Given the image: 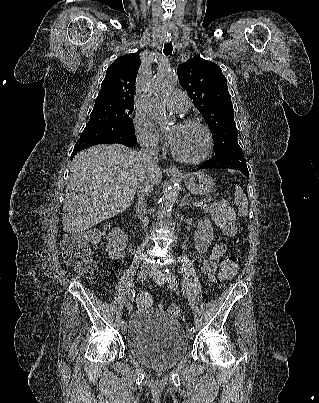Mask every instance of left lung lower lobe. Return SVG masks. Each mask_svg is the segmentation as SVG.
<instances>
[{
	"label": "left lung lower lobe",
	"instance_id": "0a47b994",
	"mask_svg": "<svg viewBox=\"0 0 319 403\" xmlns=\"http://www.w3.org/2000/svg\"><path fill=\"white\" fill-rule=\"evenodd\" d=\"M212 168H230L241 171L245 176L249 177L246 161L240 147H233L222 154L213 156L207 162L199 165L196 170L212 169Z\"/></svg>",
	"mask_w": 319,
	"mask_h": 403
}]
</instances>
